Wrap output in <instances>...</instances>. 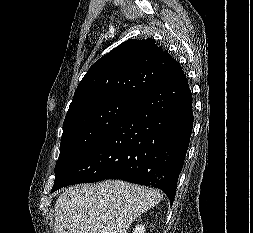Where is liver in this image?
I'll return each mask as SVG.
<instances>
[{
  "label": "liver",
  "instance_id": "liver-1",
  "mask_svg": "<svg viewBox=\"0 0 253 233\" xmlns=\"http://www.w3.org/2000/svg\"><path fill=\"white\" fill-rule=\"evenodd\" d=\"M156 189L109 180L69 188L55 203V233H127L132 222L157 205Z\"/></svg>",
  "mask_w": 253,
  "mask_h": 233
}]
</instances>
